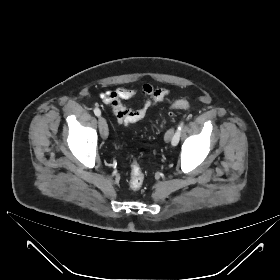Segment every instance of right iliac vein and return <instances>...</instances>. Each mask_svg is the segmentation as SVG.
Wrapping results in <instances>:
<instances>
[{
	"instance_id": "63e3f726",
	"label": "right iliac vein",
	"mask_w": 280,
	"mask_h": 280,
	"mask_svg": "<svg viewBox=\"0 0 280 280\" xmlns=\"http://www.w3.org/2000/svg\"><path fill=\"white\" fill-rule=\"evenodd\" d=\"M99 130H100V135L103 139H106L108 136V126H107V122L105 120V118L100 117L99 121Z\"/></svg>"
}]
</instances>
